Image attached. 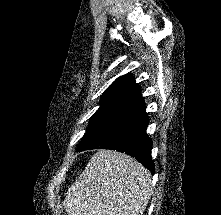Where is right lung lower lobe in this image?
Segmentation results:
<instances>
[{"label":"right lung lower lobe","mask_w":221,"mask_h":215,"mask_svg":"<svg viewBox=\"0 0 221 215\" xmlns=\"http://www.w3.org/2000/svg\"><path fill=\"white\" fill-rule=\"evenodd\" d=\"M149 118L145 107L122 118L112 128L81 147L89 149H112L135 157L142 165L154 173L151 157L152 141L146 134Z\"/></svg>","instance_id":"98d812e1"}]
</instances>
